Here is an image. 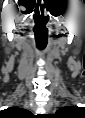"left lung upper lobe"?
Wrapping results in <instances>:
<instances>
[{"label": "left lung upper lobe", "instance_id": "5c2ea615", "mask_svg": "<svg viewBox=\"0 0 85 118\" xmlns=\"http://www.w3.org/2000/svg\"><path fill=\"white\" fill-rule=\"evenodd\" d=\"M70 109H72V107H63V108H61L60 110H58V112L59 113H65L66 111H68V110H70Z\"/></svg>", "mask_w": 85, "mask_h": 118}]
</instances>
